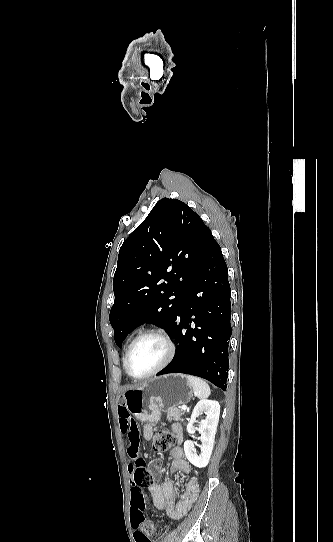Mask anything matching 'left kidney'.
<instances>
[{
    "instance_id": "1",
    "label": "left kidney",
    "mask_w": 333,
    "mask_h": 542,
    "mask_svg": "<svg viewBox=\"0 0 333 542\" xmlns=\"http://www.w3.org/2000/svg\"><path fill=\"white\" fill-rule=\"evenodd\" d=\"M200 414H206L205 420H202L199 424V428H195L194 422ZM220 416V404L215 400H200L196 404L192 414L191 420L187 426L188 434H195L196 430L201 434L202 446L199 454L195 452V446L191 440L184 442V452L187 460L196 466V468H206L211 458L215 434L219 422Z\"/></svg>"
}]
</instances>
